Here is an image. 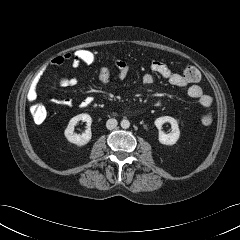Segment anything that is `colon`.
Listing matches in <instances>:
<instances>
[{"instance_id": "5ec220e1", "label": "colon", "mask_w": 240, "mask_h": 240, "mask_svg": "<svg viewBox=\"0 0 240 240\" xmlns=\"http://www.w3.org/2000/svg\"><path fill=\"white\" fill-rule=\"evenodd\" d=\"M70 63L74 67L80 65H91L102 61L99 53L92 51L88 48L77 49L71 53H68ZM183 75L188 82H197L200 79V73L192 65H187L183 70ZM30 113L35 122L41 123L45 120L47 112L45 107L40 103H33L30 105ZM201 123L203 125H210L213 121L212 113L204 111L200 116Z\"/></svg>"}]
</instances>
